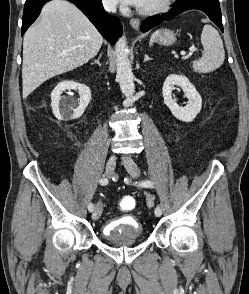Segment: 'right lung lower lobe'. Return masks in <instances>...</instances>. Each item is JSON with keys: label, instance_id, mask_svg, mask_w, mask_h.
Instances as JSON below:
<instances>
[{"label": "right lung lower lobe", "instance_id": "1", "mask_svg": "<svg viewBox=\"0 0 249 294\" xmlns=\"http://www.w3.org/2000/svg\"><path fill=\"white\" fill-rule=\"evenodd\" d=\"M50 0H26L22 18V35L39 16L45 3ZM75 4L93 23L101 35L111 44H115L122 33L119 18L108 15L102 6L101 0H68Z\"/></svg>", "mask_w": 249, "mask_h": 294}]
</instances>
